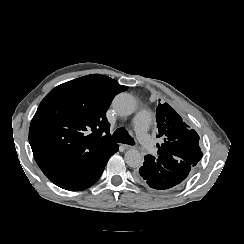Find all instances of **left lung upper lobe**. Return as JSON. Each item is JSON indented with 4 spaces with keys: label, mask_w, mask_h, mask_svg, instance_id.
<instances>
[{
    "label": "left lung upper lobe",
    "mask_w": 244,
    "mask_h": 244,
    "mask_svg": "<svg viewBox=\"0 0 244 244\" xmlns=\"http://www.w3.org/2000/svg\"><path fill=\"white\" fill-rule=\"evenodd\" d=\"M156 122L159 134L164 142L158 147V155H171L180 162L195 166L202 158L199 136L181 116L167 103L156 110Z\"/></svg>",
    "instance_id": "1"
}]
</instances>
